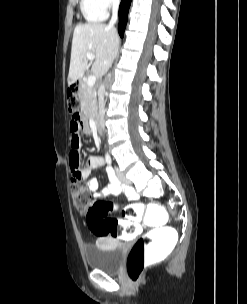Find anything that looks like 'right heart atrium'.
Instances as JSON below:
<instances>
[{"mask_svg": "<svg viewBox=\"0 0 247 304\" xmlns=\"http://www.w3.org/2000/svg\"><path fill=\"white\" fill-rule=\"evenodd\" d=\"M97 1L105 11L115 7L119 3V0H97Z\"/></svg>", "mask_w": 247, "mask_h": 304, "instance_id": "1", "label": "right heart atrium"}]
</instances>
